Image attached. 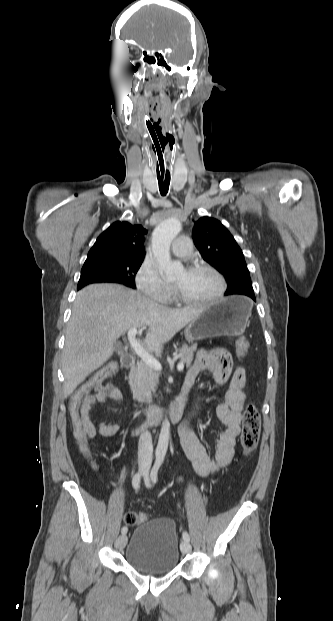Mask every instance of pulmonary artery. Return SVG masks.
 <instances>
[{
  "label": "pulmonary artery",
  "mask_w": 333,
  "mask_h": 621,
  "mask_svg": "<svg viewBox=\"0 0 333 621\" xmlns=\"http://www.w3.org/2000/svg\"><path fill=\"white\" fill-rule=\"evenodd\" d=\"M172 253L180 258L188 257L191 254V241L188 237H178L171 248Z\"/></svg>",
  "instance_id": "e3ab8cb5"
}]
</instances>
